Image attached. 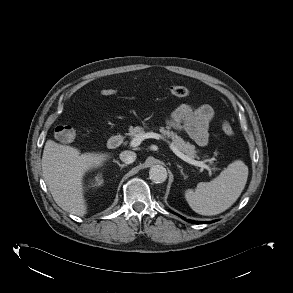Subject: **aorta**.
Segmentation results:
<instances>
[{"instance_id":"1","label":"aorta","mask_w":293,"mask_h":293,"mask_svg":"<svg viewBox=\"0 0 293 293\" xmlns=\"http://www.w3.org/2000/svg\"><path fill=\"white\" fill-rule=\"evenodd\" d=\"M150 179L155 183H163L167 179V170L162 165H154L149 171Z\"/></svg>"}]
</instances>
